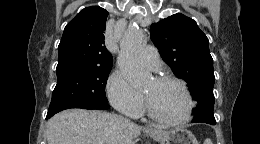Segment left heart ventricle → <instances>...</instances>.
<instances>
[{
  "label": "left heart ventricle",
  "mask_w": 260,
  "mask_h": 144,
  "mask_svg": "<svg viewBox=\"0 0 260 144\" xmlns=\"http://www.w3.org/2000/svg\"><path fill=\"white\" fill-rule=\"evenodd\" d=\"M142 92L153 110L161 116L181 119L187 113L188 100L184 91L176 84H157L151 80Z\"/></svg>",
  "instance_id": "1"
}]
</instances>
